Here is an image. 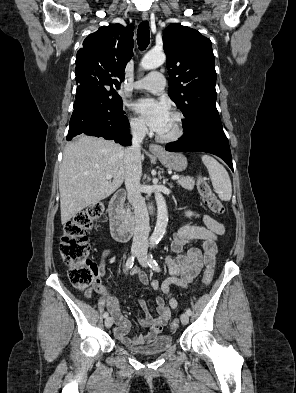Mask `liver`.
<instances>
[{"mask_svg": "<svg viewBox=\"0 0 296 393\" xmlns=\"http://www.w3.org/2000/svg\"><path fill=\"white\" fill-rule=\"evenodd\" d=\"M124 148L114 141L80 135L66 145L59 170L61 222L112 195L125 180ZM144 155L140 154V161ZM111 174L113 180H107Z\"/></svg>", "mask_w": 296, "mask_h": 393, "instance_id": "1", "label": "liver"}]
</instances>
